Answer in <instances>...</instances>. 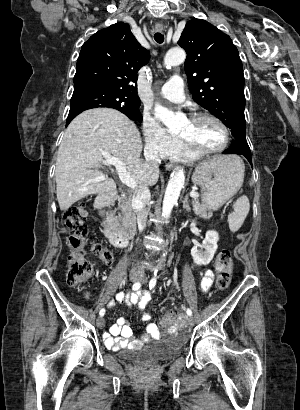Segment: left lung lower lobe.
<instances>
[{"label": "left lung lower lobe", "mask_w": 300, "mask_h": 410, "mask_svg": "<svg viewBox=\"0 0 300 410\" xmlns=\"http://www.w3.org/2000/svg\"><path fill=\"white\" fill-rule=\"evenodd\" d=\"M224 154H241L244 155L250 164L252 165V160H251V153H250V148L246 141L235 139L232 143V146L225 151H223Z\"/></svg>", "instance_id": "obj_1"}]
</instances>
